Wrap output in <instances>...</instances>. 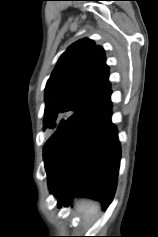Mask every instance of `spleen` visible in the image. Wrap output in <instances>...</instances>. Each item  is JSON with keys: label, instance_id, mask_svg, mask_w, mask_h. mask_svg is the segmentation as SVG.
I'll return each mask as SVG.
<instances>
[{"label": "spleen", "instance_id": "1", "mask_svg": "<svg viewBox=\"0 0 158 237\" xmlns=\"http://www.w3.org/2000/svg\"><path fill=\"white\" fill-rule=\"evenodd\" d=\"M76 210L83 216L85 221H90L98 214L100 207L95 202L83 200L76 204Z\"/></svg>", "mask_w": 158, "mask_h": 237}]
</instances>
